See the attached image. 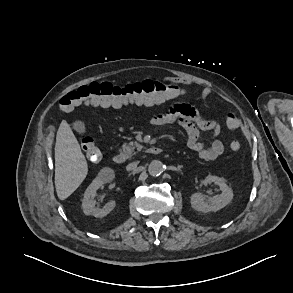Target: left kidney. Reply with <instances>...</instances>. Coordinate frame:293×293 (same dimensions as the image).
<instances>
[{
    "instance_id": "1",
    "label": "left kidney",
    "mask_w": 293,
    "mask_h": 293,
    "mask_svg": "<svg viewBox=\"0 0 293 293\" xmlns=\"http://www.w3.org/2000/svg\"><path fill=\"white\" fill-rule=\"evenodd\" d=\"M205 183H214L219 186L220 190L222 191L221 194L213 196L210 199V203L205 201V197L201 193H194L190 197V203L194 210L199 212H211V211H218L224 208L227 204L231 202L233 199V191L232 189L225 183V179L214 176L208 175L205 178Z\"/></svg>"
}]
</instances>
